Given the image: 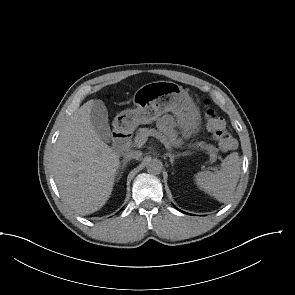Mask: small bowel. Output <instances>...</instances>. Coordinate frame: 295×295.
Listing matches in <instances>:
<instances>
[{
	"label": "small bowel",
	"instance_id": "obj_1",
	"mask_svg": "<svg viewBox=\"0 0 295 295\" xmlns=\"http://www.w3.org/2000/svg\"><path fill=\"white\" fill-rule=\"evenodd\" d=\"M159 126H160L162 129L170 130V129L173 128V122H172V120H171L169 117H162V118L159 120Z\"/></svg>",
	"mask_w": 295,
	"mask_h": 295
}]
</instances>
